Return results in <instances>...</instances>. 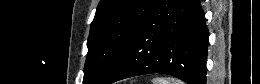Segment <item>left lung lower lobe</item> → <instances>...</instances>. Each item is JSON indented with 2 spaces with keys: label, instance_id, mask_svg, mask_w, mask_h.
<instances>
[{
  "label": "left lung lower lobe",
  "instance_id": "0a47b994",
  "mask_svg": "<svg viewBox=\"0 0 260 84\" xmlns=\"http://www.w3.org/2000/svg\"><path fill=\"white\" fill-rule=\"evenodd\" d=\"M208 36L199 0H158L102 84L150 73L206 84Z\"/></svg>",
  "mask_w": 260,
  "mask_h": 84
}]
</instances>
